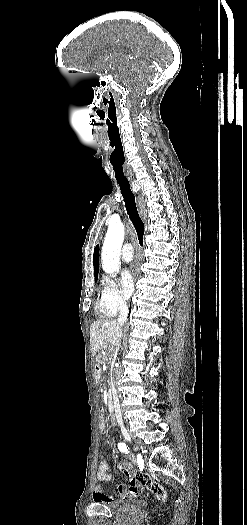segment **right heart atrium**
I'll use <instances>...</instances> for the list:
<instances>
[{
	"instance_id": "obj_1",
	"label": "right heart atrium",
	"mask_w": 247,
	"mask_h": 525,
	"mask_svg": "<svg viewBox=\"0 0 247 525\" xmlns=\"http://www.w3.org/2000/svg\"><path fill=\"white\" fill-rule=\"evenodd\" d=\"M126 300L127 297L120 290L117 281L113 277H105L98 301L104 309L109 313L117 314L125 308Z\"/></svg>"
}]
</instances>
